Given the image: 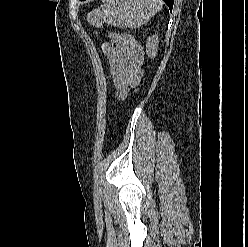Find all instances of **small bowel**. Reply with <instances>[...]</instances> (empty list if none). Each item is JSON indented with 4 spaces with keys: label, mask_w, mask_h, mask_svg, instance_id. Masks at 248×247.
Segmentation results:
<instances>
[{
    "label": "small bowel",
    "mask_w": 248,
    "mask_h": 247,
    "mask_svg": "<svg viewBox=\"0 0 248 247\" xmlns=\"http://www.w3.org/2000/svg\"><path fill=\"white\" fill-rule=\"evenodd\" d=\"M102 49L109 63L116 97L123 100L139 85L142 70L136 62L133 49L128 44L112 40L104 43Z\"/></svg>",
    "instance_id": "small-bowel-1"
}]
</instances>
